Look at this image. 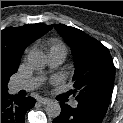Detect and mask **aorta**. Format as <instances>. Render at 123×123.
<instances>
[{
  "label": "aorta",
  "mask_w": 123,
  "mask_h": 123,
  "mask_svg": "<svg viewBox=\"0 0 123 123\" xmlns=\"http://www.w3.org/2000/svg\"><path fill=\"white\" fill-rule=\"evenodd\" d=\"M26 63L34 69H42L47 64V56L42 51L32 50L26 56ZM49 117L56 118L61 113V107L58 102H50L45 108Z\"/></svg>",
  "instance_id": "obj_1"
}]
</instances>
